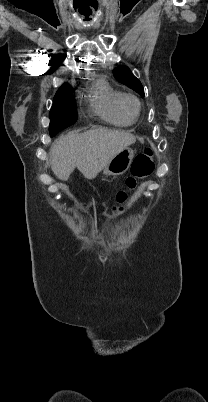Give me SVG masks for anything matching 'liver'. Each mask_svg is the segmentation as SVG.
<instances>
[{"mask_svg": "<svg viewBox=\"0 0 208 402\" xmlns=\"http://www.w3.org/2000/svg\"><path fill=\"white\" fill-rule=\"evenodd\" d=\"M135 142V136L121 130L96 128L83 134L69 132L67 136H60L51 148V170L64 182L69 180L75 168L85 178L93 180L113 156Z\"/></svg>", "mask_w": 208, "mask_h": 402, "instance_id": "obj_1", "label": "liver"}]
</instances>
